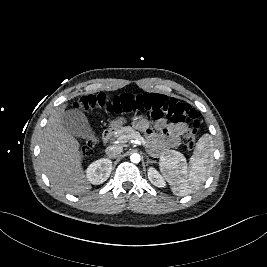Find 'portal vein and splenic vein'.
Segmentation results:
<instances>
[{
	"mask_svg": "<svg viewBox=\"0 0 267 267\" xmlns=\"http://www.w3.org/2000/svg\"><path fill=\"white\" fill-rule=\"evenodd\" d=\"M131 138H134L133 136H122L120 137L118 140L121 142V143H125L127 142L128 139H131ZM136 139V143L141 145L143 144L145 141L144 139H138V138H135Z\"/></svg>",
	"mask_w": 267,
	"mask_h": 267,
	"instance_id": "obj_1",
	"label": "portal vein and splenic vein"
}]
</instances>
